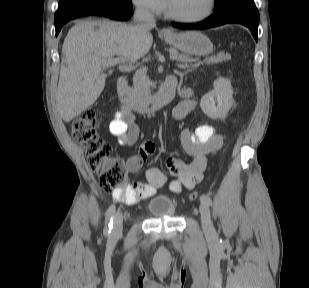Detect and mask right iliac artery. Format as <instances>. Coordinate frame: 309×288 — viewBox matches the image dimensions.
I'll use <instances>...</instances> for the list:
<instances>
[{
  "mask_svg": "<svg viewBox=\"0 0 309 288\" xmlns=\"http://www.w3.org/2000/svg\"><path fill=\"white\" fill-rule=\"evenodd\" d=\"M114 212H115V206L111 205L107 212H106V217H105V233L106 234H110L111 233V229L113 227V216H114Z\"/></svg>",
  "mask_w": 309,
  "mask_h": 288,
  "instance_id": "right-iliac-artery-1",
  "label": "right iliac artery"
}]
</instances>
